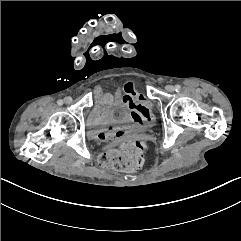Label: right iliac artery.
I'll return each mask as SVG.
<instances>
[{"instance_id": "82829eb1", "label": "right iliac artery", "mask_w": 241, "mask_h": 241, "mask_svg": "<svg viewBox=\"0 0 241 241\" xmlns=\"http://www.w3.org/2000/svg\"><path fill=\"white\" fill-rule=\"evenodd\" d=\"M57 104H58L59 106H61V105L63 104V101H62V100H58V101H57Z\"/></svg>"}]
</instances>
